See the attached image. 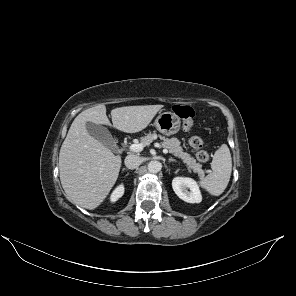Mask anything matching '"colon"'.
<instances>
[{
  "instance_id": "5ec220e1",
  "label": "colon",
  "mask_w": 296,
  "mask_h": 296,
  "mask_svg": "<svg viewBox=\"0 0 296 296\" xmlns=\"http://www.w3.org/2000/svg\"><path fill=\"white\" fill-rule=\"evenodd\" d=\"M173 112L182 119L183 129L188 131L194 126V110L192 107L183 104H175L172 107ZM190 147L198 150L196 157L200 162H207L210 158L209 154L202 150L204 142L200 136H191L188 140Z\"/></svg>"
}]
</instances>
